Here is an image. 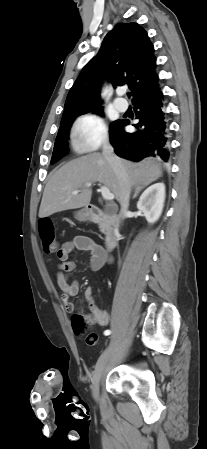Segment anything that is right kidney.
Masks as SVG:
<instances>
[{
  "label": "right kidney",
  "instance_id": "right-kidney-1",
  "mask_svg": "<svg viewBox=\"0 0 207 449\" xmlns=\"http://www.w3.org/2000/svg\"><path fill=\"white\" fill-rule=\"evenodd\" d=\"M165 202V185L156 183L148 187L140 196L137 208L143 212L148 223H155L162 214Z\"/></svg>",
  "mask_w": 207,
  "mask_h": 449
}]
</instances>
